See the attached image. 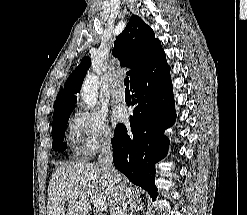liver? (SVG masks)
<instances>
[{
  "mask_svg": "<svg viewBox=\"0 0 247 215\" xmlns=\"http://www.w3.org/2000/svg\"><path fill=\"white\" fill-rule=\"evenodd\" d=\"M120 180L128 203L135 201L132 189L127 187V179L120 175ZM86 191L105 201L113 215L119 189L107 180L98 163L68 164L56 169L48 186V215H87L92 200Z\"/></svg>",
  "mask_w": 247,
  "mask_h": 215,
  "instance_id": "6515ba94",
  "label": "liver"
}]
</instances>
